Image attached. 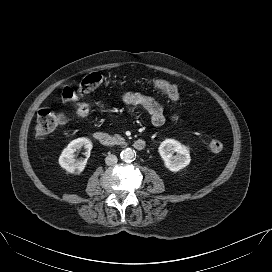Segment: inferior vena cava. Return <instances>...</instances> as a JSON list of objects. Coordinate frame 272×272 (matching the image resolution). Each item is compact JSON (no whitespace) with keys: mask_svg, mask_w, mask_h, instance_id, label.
<instances>
[{"mask_svg":"<svg viewBox=\"0 0 272 272\" xmlns=\"http://www.w3.org/2000/svg\"><path fill=\"white\" fill-rule=\"evenodd\" d=\"M117 161H118V159H117L116 155H113V154H109V155L105 158V163H106L107 165H109V166H110V165L116 164Z\"/></svg>","mask_w":272,"mask_h":272,"instance_id":"1","label":"inferior vena cava"}]
</instances>
